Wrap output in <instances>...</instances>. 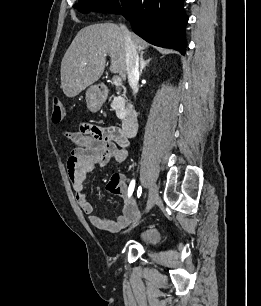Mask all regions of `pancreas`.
Listing matches in <instances>:
<instances>
[{"mask_svg": "<svg viewBox=\"0 0 261 306\" xmlns=\"http://www.w3.org/2000/svg\"><path fill=\"white\" fill-rule=\"evenodd\" d=\"M111 107L113 110H115L117 117L119 119H122L126 113L125 97L122 96L114 97L111 103Z\"/></svg>", "mask_w": 261, "mask_h": 306, "instance_id": "1", "label": "pancreas"}]
</instances>
